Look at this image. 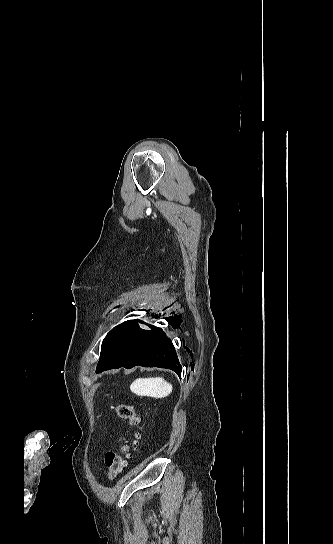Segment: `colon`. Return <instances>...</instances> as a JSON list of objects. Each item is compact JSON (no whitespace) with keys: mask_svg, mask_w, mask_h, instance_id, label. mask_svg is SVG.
Wrapping results in <instances>:
<instances>
[{"mask_svg":"<svg viewBox=\"0 0 333 544\" xmlns=\"http://www.w3.org/2000/svg\"><path fill=\"white\" fill-rule=\"evenodd\" d=\"M112 410L131 428L129 439L116 450H110L105 454V463L108 469L107 477L115 479L126 467L130 452L136 449L141 437L139 427L140 417L137 410L128 404L113 405Z\"/></svg>","mask_w":333,"mask_h":544,"instance_id":"obj_1","label":"colon"}]
</instances>
